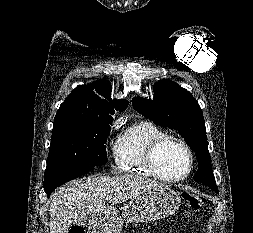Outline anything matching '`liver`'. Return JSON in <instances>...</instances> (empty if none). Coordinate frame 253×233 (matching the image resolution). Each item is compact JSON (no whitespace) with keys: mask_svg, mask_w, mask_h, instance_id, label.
<instances>
[{"mask_svg":"<svg viewBox=\"0 0 253 233\" xmlns=\"http://www.w3.org/2000/svg\"><path fill=\"white\" fill-rule=\"evenodd\" d=\"M163 186L142 176L88 177L61 188L50 203V233H67L86 214L106 210L105 199L111 195L112 205L134 199L149 189Z\"/></svg>","mask_w":253,"mask_h":233,"instance_id":"1","label":"liver"}]
</instances>
